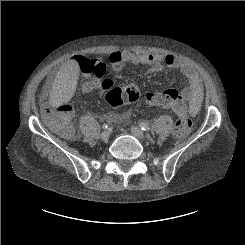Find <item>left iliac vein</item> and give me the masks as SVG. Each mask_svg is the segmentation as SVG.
<instances>
[{"instance_id":"left-iliac-vein-1","label":"left iliac vein","mask_w":245,"mask_h":245,"mask_svg":"<svg viewBox=\"0 0 245 245\" xmlns=\"http://www.w3.org/2000/svg\"><path fill=\"white\" fill-rule=\"evenodd\" d=\"M131 133L140 140H144L146 138L144 132L138 127L132 126Z\"/></svg>"}]
</instances>
